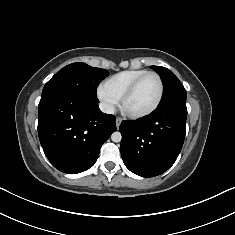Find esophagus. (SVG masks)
Masks as SVG:
<instances>
[{"instance_id":"esophagus-1","label":"esophagus","mask_w":235,"mask_h":235,"mask_svg":"<svg viewBox=\"0 0 235 235\" xmlns=\"http://www.w3.org/2000/svg\"><path fill=\"white\" fill-rule=\"evenodd\" d=\"M121 123H122V118L121 117H117L116 118V127L119 128Z\"/></svg>"}]
</instances>
